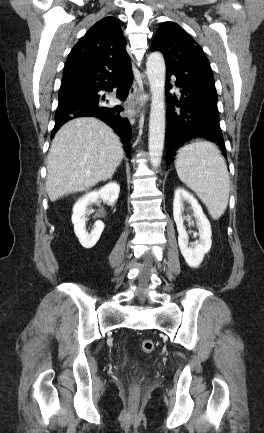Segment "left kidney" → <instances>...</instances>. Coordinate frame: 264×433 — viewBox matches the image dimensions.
Here are the masks:
<instances>
[{
  "label": "left kidney",
  "instance_id": "1",
  "mask_svg": "<svg viewBox=\"0 0 264 433\" xmlns=\"http://www.w3.org/2000/svg\"><path fill=\"white\" fill-rule=\"evenodd\" d=\"M184 202H188L191 205L199 231V242L194 248L188 246L189 238L183 224L184 217L182 212ZM173 217L177 226L180 251L189 267L198 268L203 261L204 255L209 252L212 245L211 225L197 199L182 187L177 188L174 192Z\"/></svg>",
  "mask_w": 264,
  "mask_h": 433
}]
</instances>
